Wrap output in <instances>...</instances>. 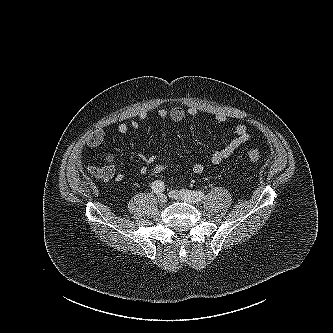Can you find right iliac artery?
<instances>
[{
	"instance_id": "82829eb1",
	"label": "right iliac artery",
	"mask_w": 333,
	"mask_h": 333,
	"mask_svg": "<svg viewBox=\"0 0 333 333\" xmlns=\"http://www.w3.org/2000/svg\"><path fill=\"white\" fill-rule=\"evenodd\" d=\"M152 189L155 193L160 194L165 190V185L161 180H156L152 183Z\"/></svg>"
}]
</instances>
